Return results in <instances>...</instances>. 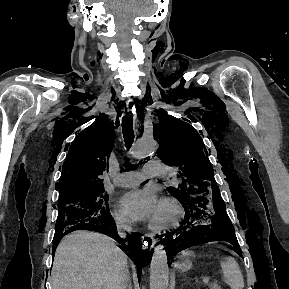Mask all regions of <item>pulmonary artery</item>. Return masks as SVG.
<instances>
[{
  "label": "pulmonary artery",
  "instance_id": "1",
  "mask_svg": "<svg viewBox=\"0 0 289 289\" xmlns=\"http://www.w3.org/2000/svg\"><path fill=\"white\" fill-rule=\"evenodd\" d=\"M166 168L160 161H148L142 171H127L119 174L115 179V184L120 187H135L144 179L158 177L165 174Z\"/></svg>",
  "mask_w": 289,
  "mask_h": 289
}]
</instances>
